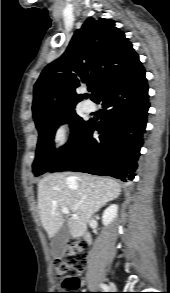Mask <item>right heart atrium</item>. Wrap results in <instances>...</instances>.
<instances>
[{
    "label": "right heart atrium",
    "mask_w": 170,
    "mask_h": 293,
    "mask_svg": "<svg viewBox=\"0 0 170 293\" xmlns=\"http://www.w3.org/2000/svg\"><path fill=\"white\" fill-rule=\"evenodd\" d=\"M67 138V126L64 123H59L53 133L52 142L55 148H61Z\"/></svg>",
    "instance_id": "obj_1"
}]
</instances>
